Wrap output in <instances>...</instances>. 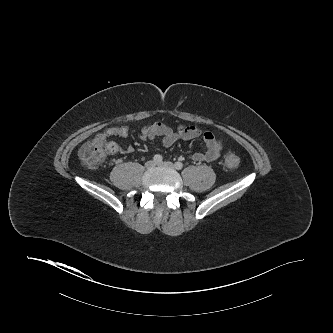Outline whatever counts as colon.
<instances>
[{
    "instance_id": "obj_1",
    "label": "colon",
    "mask_w": 333,
    "mask_h": 333,
    "mask_svg": "<svg viewBox=\"0 0 333 333\" xmlns=\"http://www.w3.org/2000/svg\"><path fill=\"white\" fill-rule=\"evenodd\" d=\"M110 152V145L104 139L97 138L84 144L79 152L80 161L88 166L99 165ZM224 163L229 169H236L240 164V158L233 152H228L224 157Z\"/></svg>"
}]
</instances>
